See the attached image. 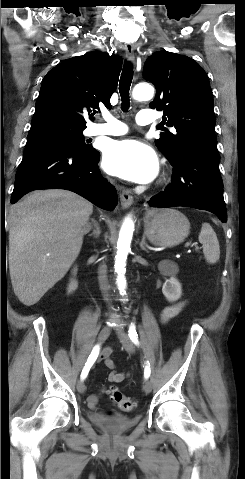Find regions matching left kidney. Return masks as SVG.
Instances as JSON below:
<instances>
[{
  "label": "left kidney",
  "instance_id": "left-kidney-1",
  "mask_svg": "<svg viewBox=\"0 0 245 479\" xmlns=\"http://www.w3.org/2000/svg\"><path fill=\"white\" fill-rule=\"evenodd\" d=\"M158 269L163 276H168L162 287V293L169 302L177 301L182 294L180 282L176 279L179 271L178 265L171 260H163L159 263Z\"/></svg>",
  "mask_w": 245,
  "mask_h": 479
}]
</instances>
